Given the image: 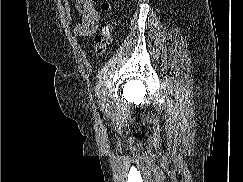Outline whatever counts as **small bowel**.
<instances>
[{
	"label": "small bowel",
	"instance_id": "1",
	"mask_svg": "<svg viewBox=\"0 0 243 182\" xmlns=\"http://www.w3.org/2000/svg\"><path fill=\"white\" fill-rule=\"evenodd\" d=\"M75 7L79 13V22L74 28V33L78 37L89 38L97 30L100 21L93 0H75Z\"/></svg>",
	"mask_w": 243,
	"mask_h": 182
}]
</instances>
